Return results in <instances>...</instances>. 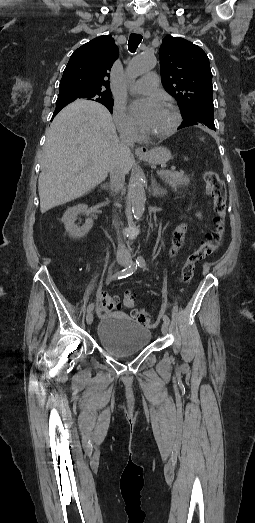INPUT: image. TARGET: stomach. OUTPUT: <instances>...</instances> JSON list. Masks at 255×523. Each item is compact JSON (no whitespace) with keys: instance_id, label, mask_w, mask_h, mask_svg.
<instances>
[{"instance_id":"stomach-1","label":"stomach","mask_w":255,"mask_h":523,"mask_svg":"<svg viewBox=\"0 0 255 523\" xmlns=\"http://www.w3.org/2000/svg\"><path fill=\"white\" fill-rule=\"evenodd\" d=\"M137 158H140V160H144V162H149V164H153V166H157V164H165V162H168L171 158V154L167 148H152V150H146L144 148L143 154L141 156H137Z\"/></svg>"}]
</instances>
